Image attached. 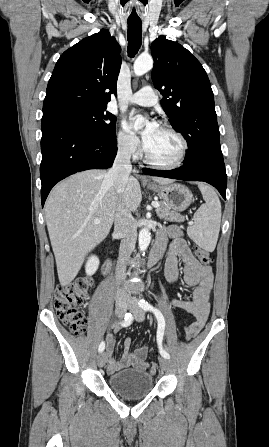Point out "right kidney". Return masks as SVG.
<instances>
[{
  "instance_id": "ca27d5eb",
  "label": "right kidney",
  "mask_w": 269,
  "mask_h": 447,
  "mask_svg": "<svg viewBox=\"0 0 269 447\" xmlns=\"http://www.w3.org/2000/svg\"><path fill=\"white\" fill-rule=\"evenodd\" d=\"M99 267V259L97 255H91V257H88L85 265V271L87 275H93L95 271H97Z\"/></svg>"
}]
</instances>
